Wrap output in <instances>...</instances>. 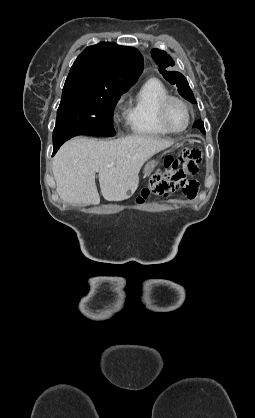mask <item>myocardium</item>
Instances as JSON below:
<instances>
[{
	"instance_id": "1",
	"label": "myocardium",
	"mask_w": 255,
	"mask_h": 418,
	"mask_svg": "<svg viewBox=\"0 0 255 418\" xmlns=\"http://www.w3.org/2000/svg\"><path fill=\"white\" fill-rule=\"evenodd\" d=\"M172 102H178L181 105L184 106V108L187 111V123L182 129H174L172 128L167 120V113L169 106ZM158 120L160 124L170 133H181L184 132L190 125L192 120V110L188 102H186L183 98L174 96V95H168L165 98L162 99V101L159 104L158 108Z\"/></svg>"
}]
</instances>
